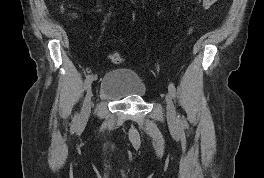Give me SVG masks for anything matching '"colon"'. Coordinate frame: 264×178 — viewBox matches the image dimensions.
Returning <instances> with one entry per match:
<instances>
[{
    "label": "colon",
    "instance_id": "obj_1",
    "mask_svg": "<svg viewBox=\"0 0 264 178\" xmlns=\"http://www.w3.org/2000/svg\"><path fill=\"white\" fill-rule=\"evenodd\" d=\"M206 2H208V1L207 0H199V4H201L203 7L205 6ZM191 14H192V12L188 14V16L186 17V20H188L190 18ZM108 57H109L110 61L114 64H119L124 60L123 55H121L120 53H116V52L109 54Z\"/></svg>",
    "mask_w": 264,
    "mask_h": 178
}]
</instances>
